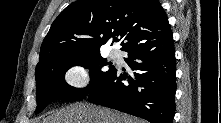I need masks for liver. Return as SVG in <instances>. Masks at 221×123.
Instances as JSON below:
<instances>
[{"mask_svg":"<svg viewBox=\"0 0 221 123\" xmlns=\"http://www.w3.org/2000/svg\"><path fill=\"white\" fill-rule=\"evenodd\" d=\"M42 123H144L126 114L89 103H75L53 112Z\"/></svg>","mask_w":221,"mask_h":123,"instance_id":"6515ba94","label":"liver"}]
</instances>
